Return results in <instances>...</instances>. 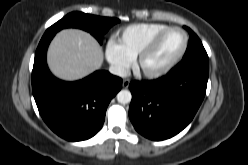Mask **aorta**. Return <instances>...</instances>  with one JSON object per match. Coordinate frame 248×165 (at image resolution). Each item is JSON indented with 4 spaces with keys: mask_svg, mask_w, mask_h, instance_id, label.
<instances>
[{
    "mask_svg": "<svg viewBox=\"0 0 248 165\" xmlns=\"http://www.w3.org/2000/svg\"><path fill=\"white\" fill-rule=\"evenodd\" d=\"M132 98L131 92L128 90H121L117 94V101L121 104H128L130 103Z\"/></svg>",
    "mask_w": 248,
    "mask_h": 165,
    "instance_id": "762f6f07",
    "label": "aorta"
}]
</instances>
